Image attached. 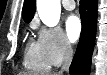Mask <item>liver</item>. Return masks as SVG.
Listing matches in <instances>:
<instances>
[{
  "instance_id": "1",
  "label": "liver",
  "mask_w": 107,
  "mask_h": 75,
  "mask_svg": "<svg viewBox=\"0 0 107 75\" xmlns=\"http://www.w3.org/2000/svg\"><path fill=\"white\" fill-rule=\"evenodd\" d=\"M19 75H35V74L23 72V73H21V74H19ZM45 75H58V74L47 73V74H45Z\"/></svg>"
}]
</instances>
